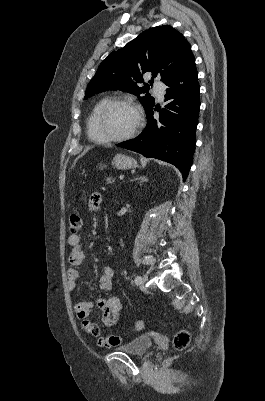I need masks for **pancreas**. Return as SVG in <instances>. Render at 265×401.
<instances>
[{
	"instance_id": "pancreas-1",
	"label": "pancreas",
	"mask_w": 265,
	"mask_h": 401,
	"mask_svg": "<svg viewBox=\"0 0 265 401\" xmlns=\"http://www.w3.org/2000/svg\"><path fill=\"white\" fill-rule=\"evenodd\" d=\"M105 180H107V182H114L115 178H112V176H107Z\"/></svg>"
}]
</instances>
